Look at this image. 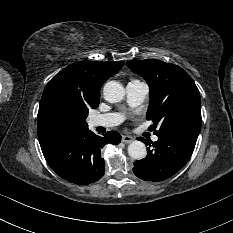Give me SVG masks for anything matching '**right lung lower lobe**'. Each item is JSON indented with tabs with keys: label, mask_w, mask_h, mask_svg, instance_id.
Returning <instances> with one entry per match:
<instances>
[{
	"label": "right lung lower lobe",
	"mask_w": 233,
	"mask_h": 233,
	"mask_svg": "<svg viewBox=\"0 0 233 233\" xmlns=\"http://www.w3.org/2000/svg\"><path fill=\"white\" fill-rule=\"evenodd\" d=\"M38 139L43 155L55 173L71 183L87 185L98 181L105 173L101 148L108 143L119 144L121 136L109 131L100 137L87 126L41 131Z\"/></svg>",
	"instance_id": "98d812e1"
}]
</instances>
